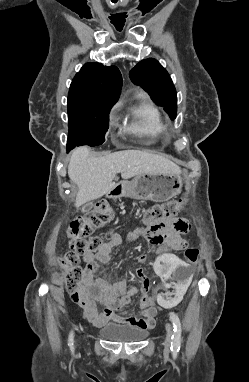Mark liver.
<instances>
[{
    "mask_svg": "<svg viewBox=\"0 0 249 382\" xmlns=\"http://www.w3.org/2000/svg\"><path fill=\"white\" fill-rule=\"evenodd\" d=\"M117 173L123 179L150 174L180 173V168L164 156L143 150H125L95 157L87 146L76 148L70 158L68 175L78 186L75 206L101 198L115 188Z\"/></svg>",
    "mask_w": 249,
    "mask_h": 382,
    "instance_id": "1",
    "label": "liver"
}]
</instances>
